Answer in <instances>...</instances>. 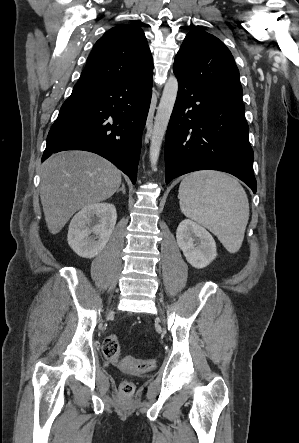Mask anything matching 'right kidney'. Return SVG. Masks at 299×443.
<instances>
[{
    "label": "right kidney",
    "mask_w": 299,
    "mask_h": 443,
    "mask_svg": "<svg viewBox=\"0 0 299 443\" xmlns=\"http://www.w3.org/2000/svg\"><path fill=\"white\" fill-rule=\"evenodd\" d=\"M116 220L113 204L96 203L82 208L70 222L67 236L69 246L80 257H95L106 246Z\"/></svg>",
    "instance_id": "right-kidney-1"
}]
</instances>
